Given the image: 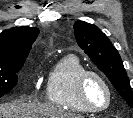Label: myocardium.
Wrapping results in <instances>:
<instances>
[{
  "instance_id": "myocardium-1",
  "label": "myocardium",
  "mask_w": 133,
  "mask_h": 118,
  "mask_svg": "<svg viewBox=\"0 0 133 118\" xmlns=\"http://www.w3.org/2000/svg\"><path fill=\"white\" fill-rule=\"evenodd\" d=\"M92 77L97 78L103 84V86L105 87L107 91L106 104L99 108L93 106L90 103L88 95H87V84H88L89 79ZM78 95H79L80 101L85 106V108L89 112H92V113H99V112H103L107 110L110 107L112 103V99H113V91H112L110 83L101 73L94 71V70H86L80 76L79 81H78Z\"/></svg>"
}]
</instances>
